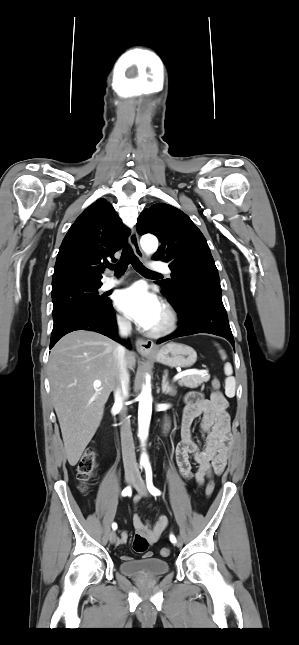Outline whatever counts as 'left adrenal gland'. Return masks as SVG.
<instances>
[{
    "label": "left adrenal gland",
    "mask_w": 299,
    "mask_h": 645,
    "mask_svg": "<svg viewBox=\"0 0 299 645\" xmlns=\"http://www.w3.org/2000/svg\"><path fill=\"white\" fill-rule=\"evenodd\" d=\"M167 378H168V371L165 370L162 377V393L166 395L168 394L170 396H175L177 393L176 387L174 385H169Z\"/></svg>",
    "instance_id": "left-adrenal-gland-1"
}]
</instances>
